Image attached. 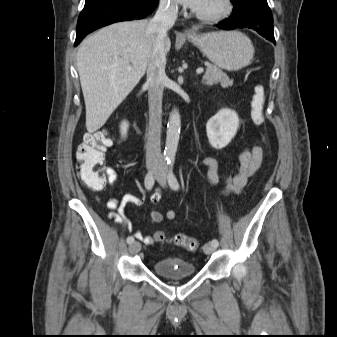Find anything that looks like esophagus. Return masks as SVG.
<instances>
[{"label": "esophagus", "instance_id": "obj_1", "mask_svg": "<svg viewBox=\"0 0 337 337\" xmlns=\"http://www.w3.org/2000/svg\"><path fill=\"white\" fill-rule=\"evenodd\" d=\"M184 33L187 34V35H190V34H192V31H191L190 29H186V30L184 31Z\"/></svg>", "mask_w": 337, "mask_h": 337}]
</instances>
